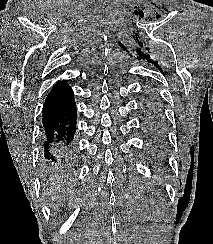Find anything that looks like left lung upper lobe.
Instances as JSON below:
<instances>
[{
    "mask_svg": "<svg viewBox=\"0 0 213 244\" xmlns=\"http://www.w3.org/2000/svg\"><path fill=\"white\" fill-rule=\"evenodd\" d=\"M144 105L145 114L147 115L149 125H151L157 132L162 131L164 126V118L162 116L163 114L161 112V107L158 103V100L149 94L147 95Z\"/></svg>",
    "mask_w": 213,
    "mask_h": 244,
    "instance_id": "obj_1",
    "label": "left lung upper lobe"
}]
</instances>
